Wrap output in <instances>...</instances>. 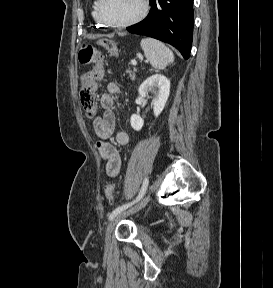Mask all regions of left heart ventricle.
Listing matches in <instances>:
<instances>
[{
  "mask_svg": "<svg viewBox=\"0 0 273 288\" xmlns=\"http://www.w3.org/2000/svg\"><path fill=\"white\" fill-rule=\"evenodd\" d=\"M141 0H105L104 17L112 22L127 21L141 11Z\"/></svg>",
  "mask_w": 273,
  "mask_h": 288,
  "instance_id": "left-heart-ventricle-1",
  "label": "left heart ventricle"
}]
</instances>
